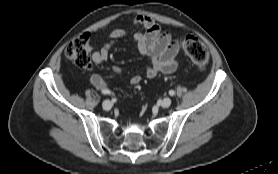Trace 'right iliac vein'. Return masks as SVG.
<instances>
[{"label":"right iliac vein","instance_id":"obj_1","mask_svg":"<svg viewBox=\"0 0 278 174\" xmlns=\"http://www.w3.org/2000/svg\"><path fill=\"white\" fill-rule=\"evenodd\" d=\"M102 107L104 110H110L112 108V103L109 101V100H105L103 103H102Z\"/></svg>","mask_w":278,"mask_h":174}]
</instances>
